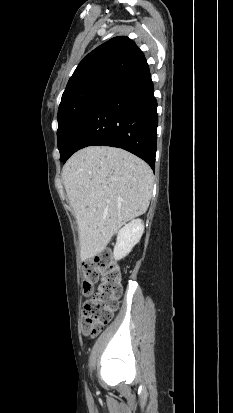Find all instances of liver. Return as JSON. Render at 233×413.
<instances>
[{
    "instance_id": "obj_1",
    "label": "liver",
    "mask_w": 233,
    "mask_h": 413,
    "mask_svg": "<svg viewBox=\"0 0 233 413\" xmlns=\"http://www.w3.org/2000/svg\"><path fill=\"white\" fill-rule=\"evenodd\" d=\"M78 227L81 259L101 253L129 220L148 209L153 172L120 148L91 146L70 157L62 169Z\"/></svg>"
}]
</instances>
